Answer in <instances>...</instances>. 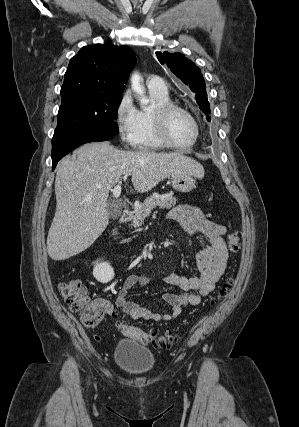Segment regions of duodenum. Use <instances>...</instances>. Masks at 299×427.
Here are the masks:
<instances>
[{
  "instance_id": "1",
  "label": "duodenum",
  "mask_w": 299,
  "mask_h": 427,
  "mask_svg": "<svg viewBox=\"0 0 299 427\" xmlns=\"http://www.w3.org/2000/svg\"><path fill=\"white\" fill-rule=\"evenodd\" d=\"M131 218V212L129 210H124L121 214L120 217V224H125L127 223ZM113 237H114V241L116 244H119L120 242V230H119V225H115L114 226V230H113Z\"/></svg>"
}]
</instances>
